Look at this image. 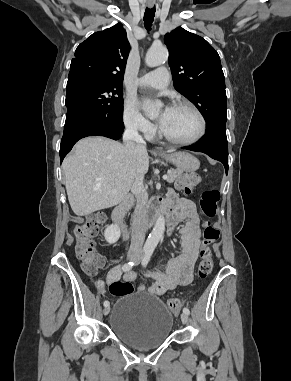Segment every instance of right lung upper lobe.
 Listing matches in <instances>:
<instances>
[{"mask_svg": "<svg viewBox=\"0 0 291 381\" xmlns=\"http://www.w3.org/2000/svg\"><path fill=\"white\" fill-rule=\"evenodd\" d=\"M130 44L122 24L92 34L76 49L68 81L86 79L122 86Z\"/></svg>", "mask_w": 291, "mask_h": 381, "instance_id": "cb5924a9", "label": "right lung upper lobe"}]
</instances>
